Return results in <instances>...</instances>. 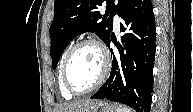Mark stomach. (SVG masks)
I'll return each instance as SVG.
<instances>
[{
    "label": "stomach",
    "mask_w": 193,
    "mask_h": 112,
    "mask_svg": "<svg viewBox=\"0 0 193 112\" xmlns=\"http://www.w3.org/2000/svg\"><path fill=\"white\" fill-rule=\"evenodd\" d=\"M82 112H114V109L106 101H95L90 107Z\"/></svg>",
    "instance_id": "obj_1"
}]
</instances>
